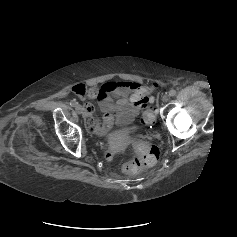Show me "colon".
<instances>
[{"label":"colon","instance_id":"1","mask_svg":"<svg viewBox=\"0 0 237 237\" xmlns=\"http://www.w3.org/2000/svg\"><path fill=\"white\" fill-rule=\"evenodd\" d=\"M150 90L148 89V91ZM154 118V109L148 98L141 121L143 124H152ZM158 158L159 149L155 145L144 141L136 142L133 144V159L124 166V170L130 174L137 173L143 167L154 165Z\"/></svg>","mask_w":237,"mask_h":237}]
</instances>
